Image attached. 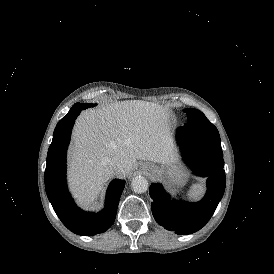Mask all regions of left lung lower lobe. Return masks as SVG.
I'll return each mask as SVG.
<instances>
[{"label": "left lung lower lobe", "mask_w": 274, "mask_h": 274, "mask_svg": "<svg viewBox=\"0 0 274 274\" xmlns=\"http://www.w3.org/2000/svg\"><path fill=\"white\" fill-rule=\"evenodd\" d=\"M177 138L186 163L195 174L208 177L206 195L196 203L177 202L171 200L160 184H152L151 209L159 225L177 234H191L209 221L224 194L223 152L218 130L181 126Z\"/></svg>", "instance_id": "0a47b994"}]
</instances>
